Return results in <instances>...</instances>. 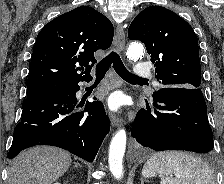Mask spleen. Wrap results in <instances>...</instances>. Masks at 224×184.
<instances>
[{"instance_id": "obj_1", "label": "spleen", "mask_w": 224, "mask_h": 184, "mask_svg": "<svg viewBox=\"0 0 224 184\" xmlns=\"http://www.w3.org/2000/svg\"><path fill=\"white\" fill-rule=\"evenodd\" d=\"M142 175L147 178L160 175V184H215L207 163L192 153L180 151L154 154L143 166Z\"/></svg>"}]
</instances>
